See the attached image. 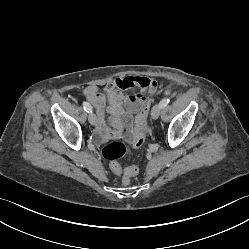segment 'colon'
Here are the masks:
<instances>
[{"mask_svg": "<svg viewBox=\"0 0 249 249\" xmlns=\"http://www.w3.org/2000/svg\"><path fill=\"white\" fill-rule=\"evenodd\" d=\"M148 108L149 107H144L136 117V132L132 141L133 147L136 149L141 148L145 142L144 122L146 119ZM126 151H127L126 146L121 142L108 143L102 149L103 157L111 161L112 170L122 175V183L124 185L128 184L130 177L136 175L139 171L137 166H130L128 168L123 169L116 162L117 159L125 155Z\"/></svg>", "mask_w": 249, "mask_h": 249, "instance_id": "5ec220e1", "label": "colon"}]
</instances>
